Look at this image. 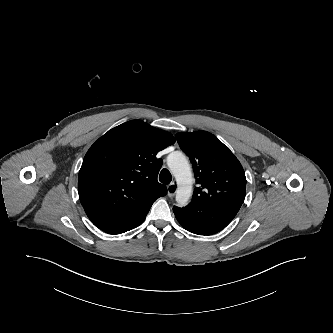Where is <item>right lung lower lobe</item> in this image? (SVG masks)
Returning <instances> with one entry per match:
<instances>
[{"instance_id": "obj_1", "label": "right lung lower lobe", "mask_w": 333, "mask_h": 333, "mask_svg": "<svg viewBox=\"0 0 333 333\" xmlns=\"http://www.w3.org/2000/svg\"><path fill=\"white\" fill-rule=\"evenodd\" d=\"M146 215L147 214L139 217L138 219L132 220V221L126 223V224L112 226V227L104 228L102 230L104 232L108 233V234L124 233L126 231H129V230L134 229L137 226H139L144 221V219L146 218Z\"/></svg>"}]
</instances>
